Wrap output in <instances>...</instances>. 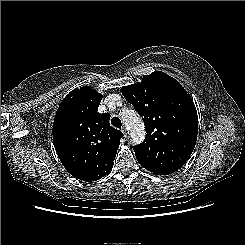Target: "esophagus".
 I'll return each mask as SVG.
<instances>
[{
  "label": "esophagus",
  "mask_w": 245,
  "mask_h": 245,
  "mask_svg": "<svg viewBox=\"0 0 245 245\" xmlns=\"http://www.w3.org/2000/svg\"><path fill=\"white\" fill-rule=\"evenodd\" d=\"M121 131H122V133L124 134L125 137H128L127 129L124 126L121 128Z\"/></svg>",
  "instance_id": "34e87169"
}]
</instances>
